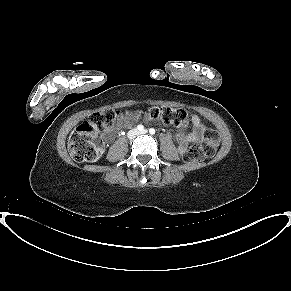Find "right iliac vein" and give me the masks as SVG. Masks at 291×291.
<instances>
[{
  "mask_svg": "<svg viewBox=\"0 0 291 291\" xmlns=\"http://www.w3.org/2000/svg\"><path fill=\"white\" fill-rule=\"evenodd\" d=\"M138 135V131L136 129H132L128 132L127 137L129 139H133L134 137H136Z\"/></svg>",
  "mask_w": 291,
  "mask_h": 291,
  "instance_id": "right-iliac-vein-1",
  "label": "right iliac vein"
}]
</instances>
